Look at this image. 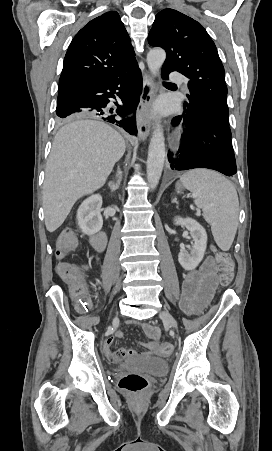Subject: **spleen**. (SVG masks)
<instances>
[{
	"label": "spleen",
	"mask_w": 272,
	"mask_h": 451,
	"mask_svg": "<svg viewBox=\"0 0 272 451\" xmlns=\"http://www.w3.org/2000/svg\"><path fill=\"white\" fill-rule=\"evenodd\" d=\"M184 188L195 194L214 239L223 251L230 249L238 226L239 200L230 180L213 170H190L180 178Z\"/></svg>",
	"instance_id": "obj_1"
}]
</instances>
